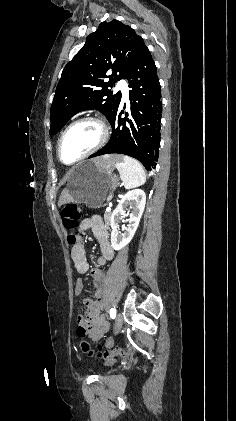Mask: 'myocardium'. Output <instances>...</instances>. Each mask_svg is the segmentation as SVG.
Instances as JSON below:
<instances>
[{"mask_svg":"<svg viewBox=\"0 0 236 421\" xmlns=\"http://www.w3.org/2000/svg\"><path fill=\"white\" fill-rule=\"evenodd\" d=\"M83 123H93V124L97 125L99 127L100 131H101V137H100L99 141L97 142V144L93 148H91L87 153H85L84 155L79 157L73 163L68 164V163L63 161L62 155H61L63 140H64L66 134L73 127H75L79 124H83ZM109 137H110V130H109L108 125L106 124V122L103 119H101L99 117H93V116H87V117L79 118V119L73 121L70 125H68L66 127V129L63 131V133L61 134L60 139L58 141V148H57L58 158L61 161V163H63L64 165H74V164L78 163L79 161L93 155L94 153L99 151L101 148H103L106 145V143L108 142Z\"/></svg>","mask_w":236,"mask_h":421,"instance_id":"obj_1","label":"myocardium"}]
</instances>
